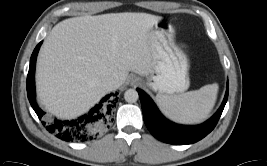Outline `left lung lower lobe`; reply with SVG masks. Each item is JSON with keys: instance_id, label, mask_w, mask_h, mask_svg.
Returning a JSON list of instances; mask_svg holds the SVG:
<instances>
[{"instance_id": "1", "label": "left lung lower lobe", "mask_w": 267, "mask_h": 166, "mask_svg": "<svg viewBox=\"0 0 267 166\" xmlns=\"http://www.w3.org/2000/svg\"><path fill=\"white\" fill-rule=\"evenodd\" d=\"M141 100L144 122L151 134L158 140L174 144L195 143L208 135L216 126L228 98L227 91L218 111L206 122L196 126L178 125L167 120L158 110L152 99L141 89H137Z\"/></svg>"}]
</instances>
